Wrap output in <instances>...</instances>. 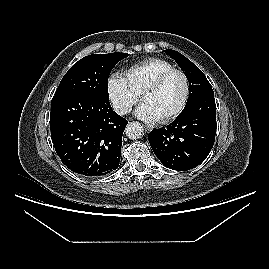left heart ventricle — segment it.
<instances>
[{
    "mask_svg": "<svg viewBox=\"0 0 269 269\" xmlns=\"http://www.w3.org/2000/svg\"><path fill=\"white\" fill-rule=\"evenodd\" d=\"M184 94V79L180 74L176 73L171 75L157 91L145 95L143 101L150 105L158 119H160L178 108Z\"/></svg>",
    "mask_w": 269,
    "mask_h": 269,
    "instance_id": "1",
    "label": "left heart ventricle"
}]
</instances>
